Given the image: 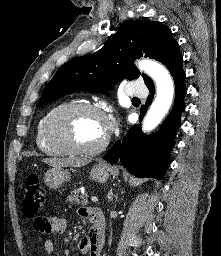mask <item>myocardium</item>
Wrapping results in <instances>:
<instances>
[{"mask_svg": "<svg viewBox=\"0 0 221 256\" xmlns=\"http://www.w3.org/2000/svg\"><path fill=\"white\" fill-rule=\"evenodd\" d=\"M78 111H90L104 119L107 124L105 112L97 105L88 102H70L55 110L49 117L46 127V137L54 145L60 146L66 153L74 155H95L103 151L109 142L107 131L103 140L92 147H80L69 138L65 129V121L69 115Z\"/></svg>", "mask_w": 221, "mask_h": 256, "instance_id": "obj_1", "label": "myocardium"}]
</instances>
